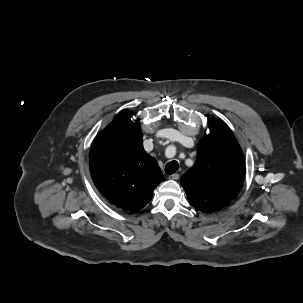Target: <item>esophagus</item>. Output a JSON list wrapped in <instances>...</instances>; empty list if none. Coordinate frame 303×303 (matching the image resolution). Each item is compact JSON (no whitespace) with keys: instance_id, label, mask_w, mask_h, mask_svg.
<instances>
[{"instance_id":"1","label":"esophagus","mask_w":303,"mask_h":303,"mask_svg":"<svg viewBox=\"0 0 303 303\" xmlns=\"http://www.w3.org/2000/svg\"><path fill=\"white\" fill-rule=\"evenodd\" d=\"M169 179L178 180L179 179V174L178 173L172 174V175L169 176Z\"/></svg>"}]
</instances>
